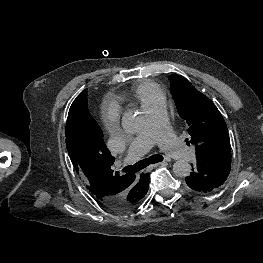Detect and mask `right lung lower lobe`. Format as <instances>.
I'll return each instance as SVG.
<instances>
[{
  "label": "right lung lower lobe",
  "instance_id": "98d812e1",
  "mask_svg": "<svg viewBox=\"0 0 263 263\" xmlns=\"http://www.w3.org/2000/svg\"><path fill=\"white\" fill-rule=\"evenodd\" d=\"M141 183L143 186L149 188V174H142ZM124 205H125L124 200H112L104 204L105 207L116 212L123 211Z\"/></svg>",
  "mask_w": 263,
  "mask_h": 263
}]
</instances>
